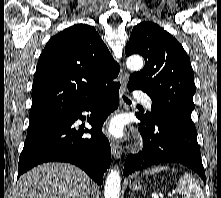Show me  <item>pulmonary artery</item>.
<instances>
[{
	"label": "pulmonary artery",
	"mask_w": 221,
	"mask_h": 198,
	"mask_svg": "<svg viewBox=\"0 0 221 198\" xmlns=\"http://www.w3.org/2000/svg\"><path fill=\"white\" fill-rule=\"evenodd\" d=\"M134 96L136 99L141 100L142 102H144V104L148 107L151 108L152 106V100L151 98L144 92L141 91H136L134 93Z\"/></svg>",
	"instance_id": "e3ab8cb5"
}]
</instances>
